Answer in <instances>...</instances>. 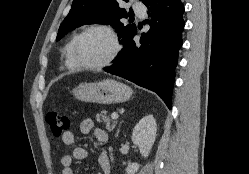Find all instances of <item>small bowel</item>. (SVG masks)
<instances>
[{"label": "small bowel", "mask_w": 249, "mask_h": 174, "mask_svg": "<svg viewBox=\"0 0 249 174\" xmlns=\"http://www.w3.org/2000/svg\"><path fill=\"white\" fill-rule=\"evenodd\" d=\"M80 131L83 134H89L90 132L94 133L95 138L101 144L107 142V134L104 130L95 128L94 122L91 119H84L80 124ZM63 144L66 146H72L76 142V138L71 131L66 132L61 137ZM89 152L84 147H75L72 151V154H65L61 158L62 165V174H78L79 172L72 168L73 160H83L87 158ZM98 164L100 167L99 174H110L111 164L110 159L106 151L102 150L98 156Z\"/></svg>", "instance_id": "small-bowel-1"}]
</instances>
